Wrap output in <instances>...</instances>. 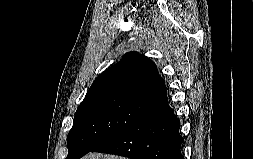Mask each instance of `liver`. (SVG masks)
I'll use <instances>...</instances> for the list:
<instances>
[{"mask_svg":"<svg viewBox=\"0 0 253 159\" xmlns=\"http://www.w3.org/2000/svg\"><path fill=\"white\" fill-rule=\"evenodd\" d=\"M82 159H127L114 155H106L101 153H88Z\"/></svg>","mask_w":253,"mask_h":159,"instance_id":"6515ba94","label":"liver"}]
</instances>
